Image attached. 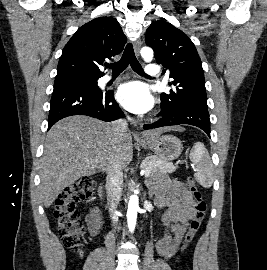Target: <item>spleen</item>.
Returning <instances> with one entry per match:
<instances>
[{"mask_svg": "<svg viewBox=\"0 0 267 270\" xmlns=\"http://www.w3.org/2000/svg\"><path fill=\"white\" fill-rule=\"evenodd\" d=\"M189 158L195 165L194 177L196 181L205 188L211 187L213 183V164L209 153L203 143L197 142L191 149Z\"/></svg>", "mask_w": 267, "mask_h": 270, "instance_id": "3e777b00", "label": "spleen"}]
</instances>
